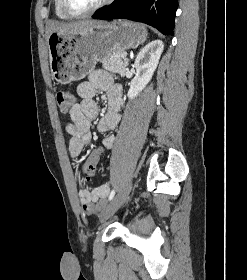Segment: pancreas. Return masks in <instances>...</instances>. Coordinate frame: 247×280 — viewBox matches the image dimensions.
<instances>
[{"label":"pancreas","mask_w":247,"mask_h":280,"mask_svg":"<svg viewBox=\"0 0 247 280\" xmlns=\"http://www.w3.org/2000/svg\"><path fill=\"white\" fill-rule=\"evenodd\" d=\"M124 56V51L113 53L109 58L102 62L103 68L113 73H118L120 76H124L127 67V62L122 60Z\"/></svg>","instance_id":"cf45deb5"}]
</instances>
